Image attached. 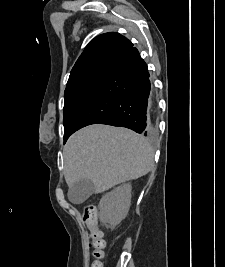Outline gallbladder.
Here are the masks:
<instances>
[{"mask_svg": "<svg viewBox=\"0 0 225 267\" xmlns=\"http://www.w3.org/2000/svg\"><path fill=\"white\" fill-rule=\"evenodd\" d=\"M94 183L89 179H81L75 182L68 190V198L74 204H81L93 194Z\"/></svg>", "mask_w": 225, "mask_h": 267, "instance_id": "1", "label": "gallbladder"}]
</instances>
